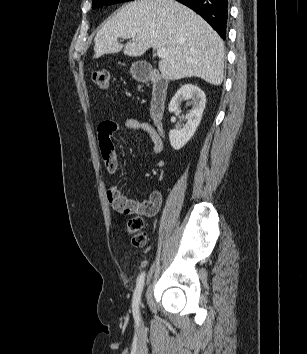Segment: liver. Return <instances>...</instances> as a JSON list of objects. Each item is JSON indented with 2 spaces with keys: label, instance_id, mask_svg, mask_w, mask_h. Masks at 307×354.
Listing matches in <instances>:
<instances>
[{
  "label": "liver",
  "instance_id": "obj_1",
  "mask_svg": "<svg viewBox=\"0 0 307 354\" xmlns=\"http://www.w3.org/2000/svg\"><path fill=\"white\" fill-rule=\"evenodd\" d=\"M133 38L125 45L118 39ZM167 48L159 61L169 80L199 77L220 85L224 74V43L199 15L175 0H135L123 6L94 39V58L118 53L138 57L149 48Z\"/></svg>",
  "mask_w": 307,
  "mask_h": 354
}]
</instances>
